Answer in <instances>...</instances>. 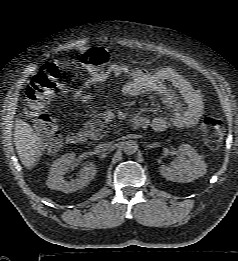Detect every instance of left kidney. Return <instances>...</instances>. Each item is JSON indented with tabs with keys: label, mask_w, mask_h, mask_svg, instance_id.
Segmentation results:
<instances>
[{
	"label": "left kidney",
	"mask_w": 238,
	"mask_h": 261,
	"mask_svg": "<svg viewBox=\"0 0 238 261\" xmlns=\"http://www.w3.org/2000/svg\"><path fill=\"white\" fill-rule=\"evenodd\" d=\"M206 163L201 155L188 144L178 148L177 158L170 166L161 165L160 173L167 180L179 183L191 182L206 173Z\"/></svg>",
	"instance_id": "5707ae66"
}]
</instances>
